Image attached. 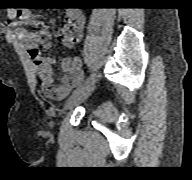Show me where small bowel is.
<instances>
[{"mask_svg":"<svg viewBox=\"0 0 192 180\" xmlns=\"http://www.w3.org/2000/svg\"><path fill=\"white\" fill-rule=\"evenodd\" d=\"M16 25L27 24L38 26V17L30 9H19L14 14ZM85 16L79 9H70L67 12V23L60 31L62 43L71 46L83 38ZM51 24L54 23L52 20ZM19 35L25 43L32 59L35 73L41 83L44 93L55 100L63 99L71 90L83 80V63L80 58H65L61 61L63 76L59 83L55 82L52 72V60L42 54L39 47L46 49L52 47V34L48 27L42 26L36 31L19 29Z\"/></svg>","mask_w":192,"mask_h":180,"instance_id":"obj_1","label":"small bowel"}]
</instances>
